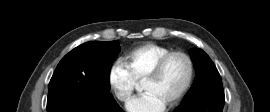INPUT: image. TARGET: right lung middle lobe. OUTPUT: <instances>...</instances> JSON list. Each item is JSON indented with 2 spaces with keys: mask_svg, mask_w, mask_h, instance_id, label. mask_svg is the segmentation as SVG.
Masks as SVG:
<instances>
[{
  "mask_svg": "<svg viewBox=\"0 0 270 112\" xmlns=\"http://www.w3.org/2000/svg\"><path fill=\"white\" fill-rule=\"evenodd\" d=\"M119 52L117 41H90L74 48L56 67L49 83L47 101L71 91L83 92L104 103L114 101L109 92V75Z\"/></svg>",
  "mask_w": 270,
  "mask_h": 112,
  "instance_id": "dd1d6c3e",
  "label": "right lung middle lobe"
}]
</instances>
